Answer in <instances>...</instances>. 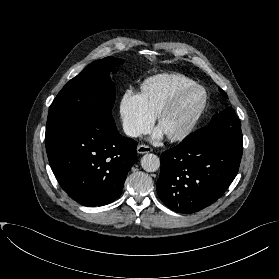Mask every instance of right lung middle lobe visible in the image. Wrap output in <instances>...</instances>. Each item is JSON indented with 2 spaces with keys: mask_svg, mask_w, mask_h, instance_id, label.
Wrapping results in <instances>:
<instances>
[{
  "mask_svg": "<svg viewBox=\"0 0 279 279\" xmlns=\"http://www.w3.org/2000/svg\"><path fill=\"white\" fill-rule=\"evenodd\" d=\"M123 59L112 56L97 60L71 79L54 99L47 119L46 136L96 112L111 115L115 86L108 72H117L114 65Z\"/></svg>",
  "mask_w": 279,
  "mask_h": 279,
  "instance_id": "obj_1",
  "label": "right lung middle lobe"
}]
</instances>
